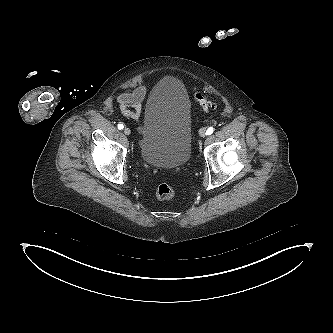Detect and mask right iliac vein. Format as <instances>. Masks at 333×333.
Here are the masks:
<instances>
[{
	"instance_id": "obj_1",
	"label": "right iliac vein",
	"mask_w": 333,
	"mask_h": 333,
	"mask_svg": "<svg viewBox=\"0 0 333 333\" xmlns=\"http://www.w3.org/2000/svg\"><path fill=\"white\" fill-rule=\"evenodd\" d=\"M124 133H125V135H130V133H131V130L129 129V128H125L124 129Z\"/></svg>"
}]
</instances>
